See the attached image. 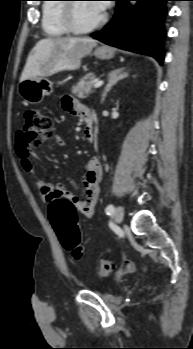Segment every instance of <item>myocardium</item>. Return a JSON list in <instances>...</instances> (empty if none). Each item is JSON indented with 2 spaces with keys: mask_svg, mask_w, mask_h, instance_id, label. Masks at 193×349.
I'll use <instances>...</instances> for the list:
<instances>
[{
  "mask_svg": "<svg viewBox=\"0 0 193 349\" xmlns=\"http://www.w3.org/2000/svg\"><path fill=\"white\" fill-rule=\"evenodd\" d=\"M69 1H76V0H69ZM76 5H77V2H69L63 5L62 22L64 27L69 33H72L74 35L86 34L98 29L106 22L107 16L106 14H102L101 17L98 20H96L93 24L86 27L78 26L75 18Z\"/></svg>",
  "mask_w": 193,
  "mask_h": 349,
  "instance_id": "obj_1",
  "label": "myocardium"
}]
</instances>
